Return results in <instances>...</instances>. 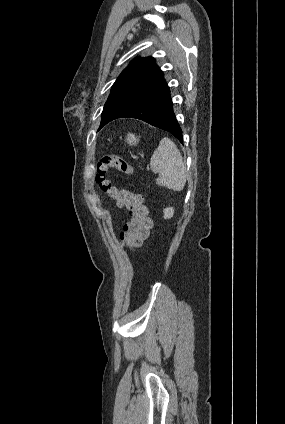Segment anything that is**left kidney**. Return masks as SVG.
Wrapping results in <instances>:
<instances>
[{
	"label": "left kidney",
	"mask_w": 285,
	"mask_h": 424,
	"mask_svg": "<svg viewBox=\"0 0 285 424\" xmlns=\"http://www.w3.org/2000/svg\"><path fill=\"white\" fill-rule=\"evenodd\" d=\"M164 219H169L174 215V209L172 207H168L164 209Z\"/></svg>",
	"instance_id": "1"
}]
</instances>
